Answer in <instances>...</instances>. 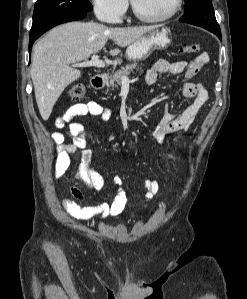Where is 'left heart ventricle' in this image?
<instances>
[{
	"instance_id": "left-heart-ventricle-1",
	"label": "left heart ventricle",
	"mask_w": 247,
	"mask_h": 299,
	"mask_svg": "<svg viewBox=\"0 0 247 299\" xmlns=\"http://www.w3.org/2000/svg\"><path fill=\"white\" fill-rule=\"evenodd\" d=\"M138 10L147 16H159L167 13L174 0H134Z\"/></svg>"
}]
</instances>
